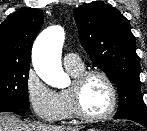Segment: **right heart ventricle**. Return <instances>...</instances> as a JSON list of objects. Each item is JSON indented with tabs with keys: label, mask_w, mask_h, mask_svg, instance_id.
Returning <instances> with one entry per match:
<instances>
[{
	"label": "right heart ventricle",
	"mask_w": 147,
	"mask_h": 131,
	"mask_svg": "<svg viewBox=\"0 0 147 131\" xmlns=\"http://www.w3.org/2000/svg\"><path fill=\"white\" fill-rule=\"evenodd\" d=\"M66 69L73 77H75L76 75H78L80 72L84 70V67L82 66L77 69H72V68H66ZM58 94L64 106V113H63L62 119L71 118L74 115V112H73L72 103H71L68 90H61L60 92H58Z\"/></svg>",
	"instance_id": "right-heart-ventricle-1"
}]
</instances>
